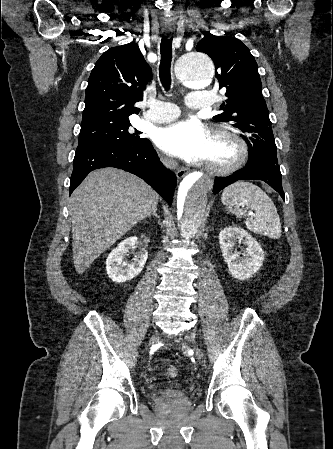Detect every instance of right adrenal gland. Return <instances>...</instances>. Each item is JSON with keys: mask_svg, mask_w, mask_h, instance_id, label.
<instances>
[{"mask_svg": "<svg viewBox=\"0 0 333 449\" xmlns=\"http://www.w3.org/2000/svg\"><path fill=\"white\" fill-rule=\"evenodd\" d=\"M151 216H155L156 218H158V219L160 220V217H159V215L157 214V209H155V210L153 211V213H152L151 215H149L148 217H151Z\"/></svg>", "mask_w": 333, "mask_h": 449, "instance_id": "right-adrenal-gland-1", "label": "right adrenal gland"}]
</instances>
